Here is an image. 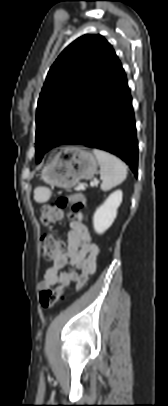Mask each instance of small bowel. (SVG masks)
<instances>
[{
	"instance_id": "small-bowel-1",
	"label": "small bowel",
	"mask_w": 168,
	"mask_h": 406,
	"mask_svg": "<svg viewBox=\"0 0 168 406\" xmlns=\"http://www.w3.org/2000/svg\"><path fill=\"white\" fill-rule=\"evenodd\" d=\"M69 226L70 231L64 249L45 271L43 280L38 284L40 290L56 285L57 291H63L71 286L80 290L96 271L99 246L93 241L87 226L83 223L82 213L77 212L76 218ZM66 267L69 269L65 270Z\"/></svg>"
}]
</instances>
